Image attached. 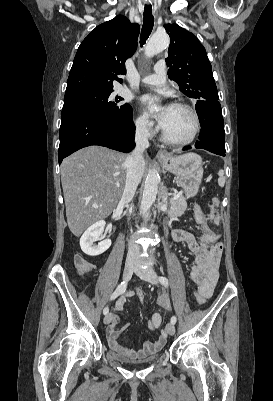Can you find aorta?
<instances>
[{"mask_svg": "<svg viewBox=\"0 0 273 401\" xmlns=\"http://www.w3.org/2000/svg\"><path fill=\"white\" fill-rule=\"evenodd\" d=\"M170 43L169 36L166 33H155L150 40L148 41L145 47V56L147 58H151L154 55L165 50ZM154 109H157V106H153ZM160 182V177L156 169H152L148 172L143 196L141 200V211L143 214H146L150 209L152 204L156 200L157 192H158V184Z\"/></svg>", "mask_w": 273, "mask_h": 401, "instance_id": "aorta-1", "label": "aorta"}]
</instances>
